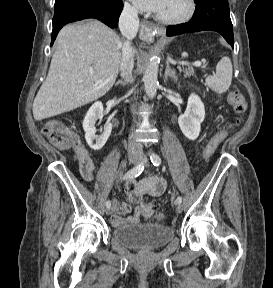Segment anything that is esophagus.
Listing matches in <instances>:
<instances>
[{
    "instance_id": "esophagus-1",
    "label": "esophagus",
    "mask_w": 273,
    "mask_h": 288,
    "mask_svg": "<svg viewBox=\"0 0 273 288\" xmlns=\"http://www.w3.org/2000/svg\"><path fill=\"white\" fill-rule=\"evenodd\" d=\"M163 28H160L148 21L141 22L140 37L144 40H151L155 34H161Z\"/></svg>"
}]
</instances>
